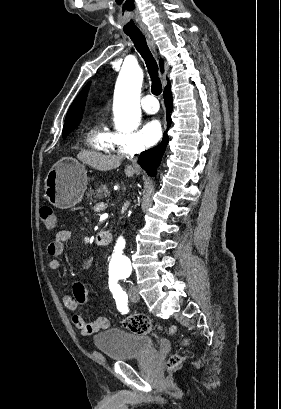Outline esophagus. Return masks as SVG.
I'll list each match as a JSON object with an SVG mask.
<instances>
[{"mask_svg": "<svg viewBox=\"0 0 281 409\" xmlns=\"http://www.w3.org/2000/svg\"><path fill=\"white\" fill-rule=\"evenodd\" d=\"M145 37L147 38L148 41V45L150 46V48L152 49V51L155 53V55H157V51H156V47L153 41V38L151 36V34L148 31H143Z\"/></svg>", "mask_w": 281, "mask_h": 409, "instance_id": "1", "label": "esophagus"}]
</instances>
